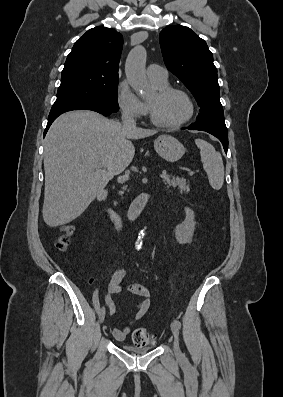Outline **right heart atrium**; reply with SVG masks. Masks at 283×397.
I'll list each match as a JSON object with an SVG mask.
<instances>
[{"label": "right heart atrium", "instance_id": "right-heart-atrium-1", "mask_svg": "<svg viewBox=\"0 0 283 397\" xmlns=\"http://www.w3.org/2000/svg\"><path fill=\"white\" fill-rule=\"evenodd\" d=\"M116 99L121 113L127 118L139 119L147 112L145 103L132 91L126 80L119 83Z\"/></svg>", "mask_w": 283, "mask_h": 397}]
</instances>
